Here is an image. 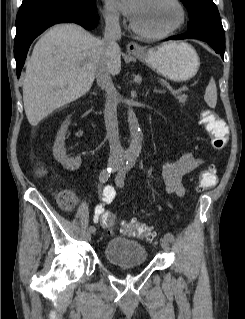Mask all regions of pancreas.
I'll list each match as a JSON object with an SVG mask.
<instances>
[{
	"label": "pancreas",
	"instance_id": "obj_1",
	"mask_svg": "<svg viewBox=\"0 0 245 319\" xmlns=\"http://www.w3.org/2000/svg\"><path fill=\"white\" fill-rule=\"evenodd\" d=\"M174 96L180 104H184L187 101V95L185 94L176 93Z\"/></svg>",
	"mask_w": 245,
	"mask_h": 319
}]
</instances>
